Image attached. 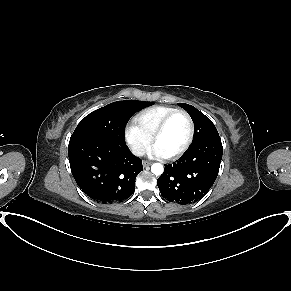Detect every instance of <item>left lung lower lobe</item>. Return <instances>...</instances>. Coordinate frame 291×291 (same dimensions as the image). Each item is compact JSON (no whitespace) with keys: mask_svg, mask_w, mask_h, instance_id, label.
Instances as JSON below:
<instances>
[{"mask_svg":"<svg viewBox=\"0 0 291 291\" xmlns=\"http://www.w3.org/2000/svg\"><path fill=\"white\" fill-rule=\"evenodd\" d=\"M222 154L219 136L192 144L181 159L165 165L164 173L157 180L161 195L182 205L200 200L217 178Z\"/></svg>","mask_w":291,"mask_h":291,"instance_id":"left-lung-lower-lobe-1","label":"left lung lower lobe"}]
</instances>
